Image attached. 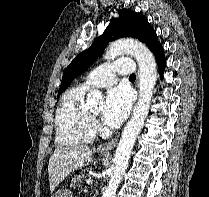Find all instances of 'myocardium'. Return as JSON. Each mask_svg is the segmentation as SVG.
<instances>
[{"mask_svg": "<svg viewBox=\"0 0 209 197\" xmlns=\"http://www.w3.org/2000/svg\"><path fill=\"white\" fill-rule=\"evenodd\" d=\"M90 115H91V118H92V119H95V118H96V114L90 113Z\"/></svg>", "mask_w": 209, "mask_h": 197, "instance_id": "obj_1", "label": "myocardium"}]
</instances>
